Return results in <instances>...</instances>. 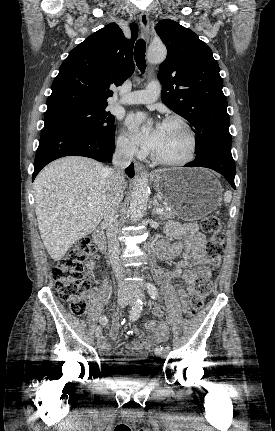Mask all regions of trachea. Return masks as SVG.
Masks as SVG:
<instances>
[{"instance_id": "obj_1", "label": "trachea", "mask_w": 275, "mask_h": 431, "mask_svg": "<svg viewBox=\"0 0 275 431\" xmlns=\"http://www.w3.org/2000/svg\"><path fill=\"white\" fill-rule=\"evenodd\" d=\"M145 52H146V43L143 39H139L135 44L134 59L138 69L141 72H144L146 68Z\"/></svg>"}]
</instances>
